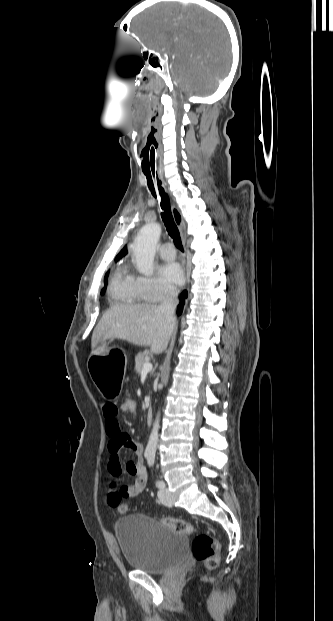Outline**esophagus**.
<instances>
[{
  "label": "esophagus",
  "mask_w": 333,
  "mask_h": 621,
  "mask_svg": "<svg viewBox=\"0 0 333 621\" xmlns=\"http://www.w3.org/2000/svg\"><path fill=\"white\" fill-rule=\"evenodd\" d=\"M172 212H173V216H174V220H175L176 225L178 226L180 231L183 233L184 223H183L181 215H180V213H179V211H178V209L176 208L175 205H172Z\"/></svg>",
  "instance_id": "obj_1"
}]
</instances>
